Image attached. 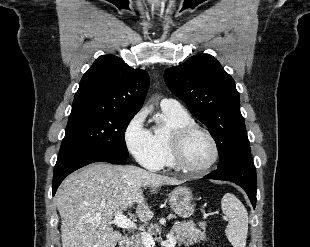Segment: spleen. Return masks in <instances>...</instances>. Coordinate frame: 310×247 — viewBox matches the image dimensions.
Masks as SVG:
<instances>
[{
    "instance_id": "spleen-1",
    "label": "spleen",
    "mask_w": 310,
    "mask_h": 247,
    "mask_svg": "<svg viewBox=\"0 0 310 247\" xmlns=\"http://www.w3.org/2000/svg\"><path fill=\"white\" fill-rule=\"evenodd\" d=\"M223 213L229 223L225 233L233 247H245L248 233V213L241 201L231 193H226L221 201Z\"/></svg>"
}]
</instances>
